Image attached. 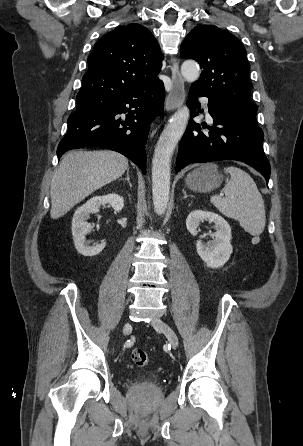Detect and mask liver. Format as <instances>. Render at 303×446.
I'll use <instances>...</instances> for the list:
<instances>
[{
    "label": "liver",
    "mask_w": 303,
    "mask_h": 446,
    "mask_svg": "<svg viewBox=\"0 0 303 446\" xmlns=\"http://www.w3.org/2000/svg\"><path fill=\"white\" fill-rule=\"evenodd\" d=\"M128 169V159L114 151H70L51 181L52 219L64 216L95 190L116 180Z\"/></svg>",
    "instance_id": "1"
}]
</instances>
